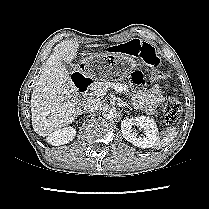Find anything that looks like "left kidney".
<instances>
[{"mask_svg":"<svg viewBox=\"0 0 209 209\" xmlns=\"http://www.w3.org/2000/svg\"><path fill=\"white\" fill-rule=\"evenodd\" d=\"M137 125L144 130V136L137 137L132 131V126ZM121 132L125 140L140 148H150L158 144V129L153 119L146 116H139L125 119L121 122Z\"/></svg>","mask_w":209,"mask_h":209,"instance_id":"obj_1","label":"left kidney"}]
</instances>
